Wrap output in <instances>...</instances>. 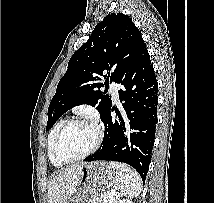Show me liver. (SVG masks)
<instances>
[{
    "instance_id": "6515ba94",
    "label": "liver",
    "mask_w": 214,
    "mask_h": 203,
    "mask_svg": "<svg viewBox=\"0 0 214 203\" xmlns=\"http://www.w3.org/2000/svg\"><path fill=\"white\" fill-rule=\"evenodd\" d=\"M86 163L73 164L61 171L54 172L48 185L49 203H65L68 196L75 190L81 170Z\"/></svg>"
}]
</instances>
